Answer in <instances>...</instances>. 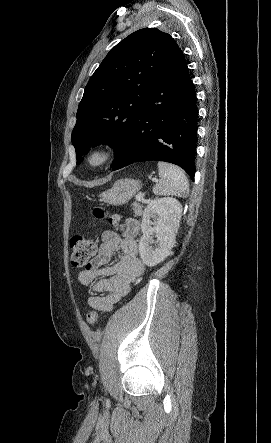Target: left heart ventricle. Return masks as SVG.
Listing matches in <instances>:
<instances>
[{
	"mask_svg": "<svg viewBox=\"0 0 271 443\" xmlns=\"http://www.w3.org/2000/svg\"><path fill=\"white\" fill-rule=\"evenodd\" d=\"M101 160V155L100 153H94L90 156L89 158V163L90 164H96Z\"/></svg>",
	"mask_w": 271,
	"mask_h": 443,
	"instance_id": "1",
	"label": "left heart ventricle"
}]
</instances>
